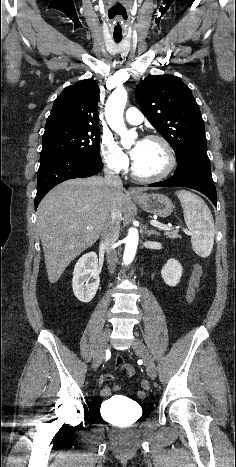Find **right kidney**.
Segmentation results:
<instances>
[{"label":"right kidney","instance_id":"obj_1","mask_svg":"<svg viewBox=\"0 0 236 467\" xmlns=\"http://www.w3.org/2000/svg\"><path fill=\"white\" fill-rule=\"evenodd\" d=\"M91 278V283L88 284ZM99 283L97 255L95 252L86 253L77 261L74 267L72 280L74 295L81 302L88 303L95 296Z\"/></svg>","mask_w":236,"mask_h":467}]
</instances>
